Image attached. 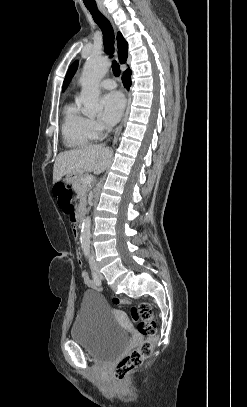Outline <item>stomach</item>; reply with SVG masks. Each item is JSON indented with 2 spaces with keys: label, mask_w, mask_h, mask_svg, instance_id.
I'll return each instance as SVG.
<instances>
[{
  "label": "stomach",
  "mask_w": 247,
  "mask_h": 407,
  "mask_svg": "<svg viewBox=\"0 0 247 407\" xmlns=\"http://www.w3.org/2000/svg\"><path fill=\"white\" fill-rule=\"evenodd\" d=\"M81 176L79 175H73V174H67L66 178H65V182L69 183V184H73L77 178H79Z\"/></svg>",
  "instance_id": "obj_1"
}]
</instances>
